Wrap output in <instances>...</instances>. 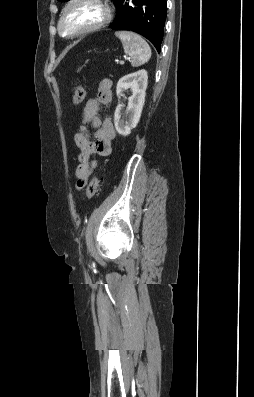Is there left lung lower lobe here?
<instances>
[{
	"instance_id": "obj_1",
	"label": "left lung lower lobe",
	"mask_w": 254,
	"mask_h": 397,
	"mask_svg": "<svg viewBox=\"0 0 254 397\" xmlns=\"http://www.w3.org/2000/svg\"><path fill=\"white\" fill-rule=\"evenodd\" d=\"M117 9L112 29L135 31L160 53L167 14L166 0H113Z\"/></svg>"
}]
</instances>
